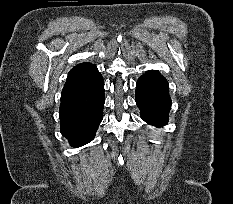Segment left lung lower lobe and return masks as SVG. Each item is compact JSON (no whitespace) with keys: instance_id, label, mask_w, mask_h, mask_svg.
Returning a JSON list of instances; mask_svg holds the SVG:
<instances>
[{"instance_id":"left-lung-lower-lobe-1","label":"left lung lower lobe","mask_w":233,"mask_h":204,"mask_svg":"<svg viewBox=\"0 0 233 204\" xmlns=\"http://www.w3.org/2000/svg\"><path fill=\"white\" fill-rule=\"evenodd\" d=\"M168 89L167 80L156 71H149L138 79L135 98L144 121L154 126L168 122L171 108Z\"/></svg>"}]
</instances>
